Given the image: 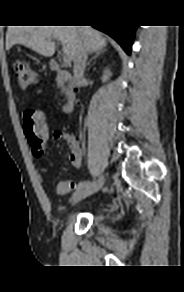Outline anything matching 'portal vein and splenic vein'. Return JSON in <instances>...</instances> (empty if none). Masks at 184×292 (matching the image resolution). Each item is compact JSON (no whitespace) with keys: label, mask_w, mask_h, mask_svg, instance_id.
Masks as SVG:
<instances>
[{"label":"portal vein and splenic vein","mask_w":184,"mask_h":292,"mask_svg":"<svg viewBox=\"0 0 184 292\" xmlns=\"http://www.w3.org/2000/svg\"><path fill=\"white\" fill-rule=\"evenodd\" d=\"M63 62H64L65 65L70 63V59H69V57L67 55L63 56Z\"/></svg>","instance_id":"portal-vein-and-splenic-vein-1"}]
</instances>
